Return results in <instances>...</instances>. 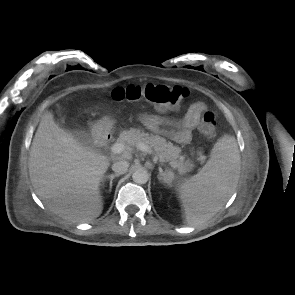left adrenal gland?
I'll return each instance as SVG.
<instances>
[{
    "label": "left adrenal gland",
    "instance_id": "1",
    "mask_svg": "<svg viewBox=\"0 0 295 295\" xmlns=\"http://www.w3.org/2000/svg\"><path fill=\"white\" fill-rule=\"evenodd\" d=\"M170 173V171L166 170V172H163L162 168L159 167V175H158V180L161 183L167 184L169 185V181L167 179L168 174Z\"/></svg>",
    "mask_w": 295,
    "mask_h": 295
}]
</instances>
